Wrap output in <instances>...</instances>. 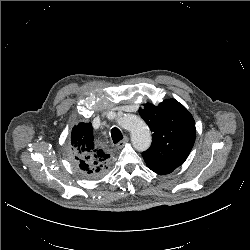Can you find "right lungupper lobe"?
Segmentation results:
<instances>
[{"instance_id": "cb5924a9", "label": "right lung upper lobe", "mask_w": 250, "mask_h": 250, "mask_svg": "<svg viewBox=\"0 0 250 250\" xmlns=\"http://www.w3.org/2000/svg\"><path fill=\"white\" fill-rule=\"evenodd\" d=\"M70 147L74 163L82 169H102L108 167L110 155L94 143L90 123H79L72 129Z\"/></svg>"}]
</instances>
